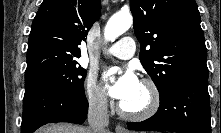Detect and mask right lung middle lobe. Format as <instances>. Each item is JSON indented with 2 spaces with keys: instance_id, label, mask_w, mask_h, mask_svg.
I'll list each match as a JSON object with an SVG mask.
<instances>
[{
  "instance_id": "obj_1",
  "label": "right lung middle lobe",
  "mask_w": 221,
  "mask_h": 133,
  "mask_svg": "<svg viewBox=\"0 0 221 133\" xmlns=\"http://www.w3.org/2000/svg\"><path fill=\"white\" fill-rule=\"evenodd\" d=\"M85 76L86 70L75 62L52 65L39 69L29 75H25V79L35 78L49 82L73 93H82L84 92Z\"/></svg>"
}]
</instances>
